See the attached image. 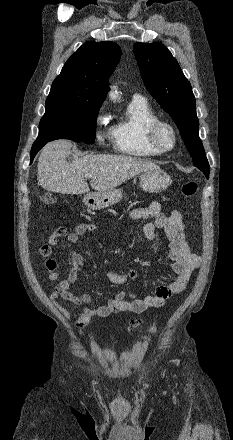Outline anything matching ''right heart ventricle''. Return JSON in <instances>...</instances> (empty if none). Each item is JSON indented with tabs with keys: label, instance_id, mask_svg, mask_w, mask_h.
Returning <instances> with one entry per match:
<instances>
[{
	"label": "right heart ventricle",
	"instance_id": "e07e8e85",
	"mask_svg": "<svg viewBox=\"0 0 233 440\" xmlns=\"http://www.w3.org/2000/svg\"><path fill=\"white\" fill-rule=\"evenodd\" d=\"M157 114L146 100L133 99L127 106L123 117L110 127L114 147L119 153L135 158L155 157L161 153L148 145L145 128Z\"/></svg>",
	"mask_w": 233,
	"mask_h": 440
}]
</instances>
